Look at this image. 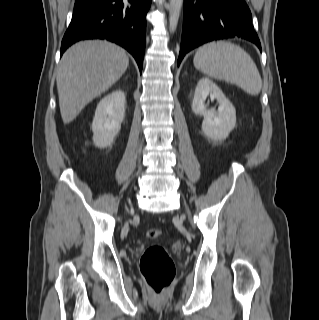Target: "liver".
<instances>
[{"mask_svg": "<svg viewBox=\"0 0 319 320\" xmlns=\"http://www.w3.org/2000/svg\"><path fill=\"white\" fill-rule=\"evenodd\" d=\"M129 58L124 49L106 40H87L62 56L56 83L64 124L72 122L94 98L125 73Z\"/></svg>", "mask_w": 319, "mask_h": 320, "instance_id": "liver-1", "label": "liver"}]
</instances>
